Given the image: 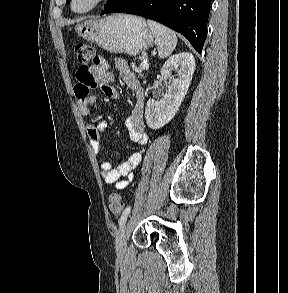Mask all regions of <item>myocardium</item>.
Masks as SVG:
<instances>
[{
  "instance_id": "obj_1",
  "label": "myocardium",
  "mask_w": 288,
  "mask_h": 293,
  "mask_svg": "<svg viewBox=\"0 0 288 293\" xmlns=\"http://www.w3.org/2000/svg\"><path fill=\"white\" fill-rule=\"evenodd\" d=\"M103 1L104 0H91L90 3L86 7L78 9L76 8L77 0H70V8L74 13L84 14L97 8Z\"/></svg>"
}]
</instances>
